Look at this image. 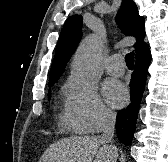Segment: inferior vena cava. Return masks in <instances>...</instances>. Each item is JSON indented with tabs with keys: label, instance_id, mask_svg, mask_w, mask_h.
I'll list each match as a JSON object with an SVG mask.
<instances>
[{
	"label": "inferior vena cava",
	"instance_id": "1",
	"mask_svg": "<svg viewBox=\"0 0 168 162\" xmlns=\"http://www.w3.org/2000/svg\"><path fill=\"white\" fill-rule=\"evenodd\" d=\"M115 123H116V114L110 110H106L102 115V123H101V137L100 139L108 144V147L111 151L117 155V148L112 145V140L115 131Z\"/></svg>",
	"mask_w": 168,
	"mask_h": 162
}]
</instances>
